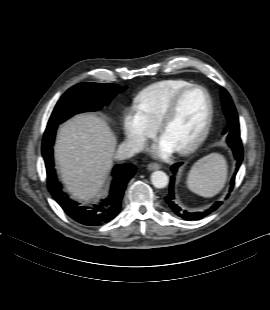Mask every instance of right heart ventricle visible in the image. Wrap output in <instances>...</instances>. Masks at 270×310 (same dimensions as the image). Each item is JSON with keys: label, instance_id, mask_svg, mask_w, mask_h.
<instances>
[{"label": "right heart ventricle", "instance_id": "right-heart-ventricle-1", "mask_svg": "<svg viewBox=\"0 0 270 310\" xmlns=\"http://www.w3.org/2000/svg\"><path fill=\"white\" fill-rule=\"evenodd\" d=\"M190 85H192L190 82L182 79L156 82L147 86L138 94L137 103L150 122L157 126L173 97Z\"/></svg>", "mask_w": 270, "mask_h": 310}]
</instances>
